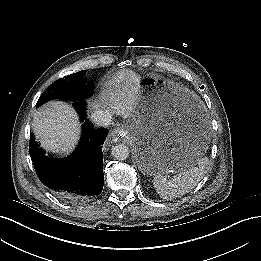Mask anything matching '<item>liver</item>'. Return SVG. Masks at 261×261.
<instances>
[{
	"instance_id": "6515ba94",
	"label": "liver",
	"mask_w": 261,
	"mask_h": 261,
	"mask_svg": "<svg viewBox=\"0 0 261 261\" xmlns=\"http://www.w3.org/2000/svg\"><path fill=\"white\" fill-rule=\"evenodd\" d=\"M140 75L132 70H121L107 82L100 97L90 102L94 110L111 108L123 118L134 116L140 89ZM37 140L47 151L70 153L78 142L80 124L74 109L62 101H51L33 116Z\"/></svg>"
}]
</instances>
